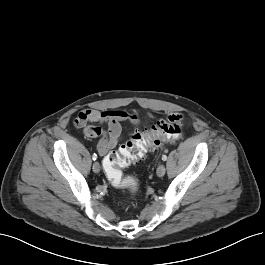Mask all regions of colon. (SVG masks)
<instances>
[{
	"mask_svg": "<svg viewBox=\"0 0 265 265\" xmlns=\"http://www.w3.org/2000/svg\"><path fill=\"white\" fill-rule=\"evenodd\" d=\"M180 119L161 120L147 133L136 132L118 151L111 152L103 161L106 177L117 189H127L133 194L140 190L139 181L133 176H124L122 170L141 158L146 151L155 149L164 141L177 139L182 135Z\"/></svg>",
	"mask_w": 265,
	"mask_h": 265,
	"instance_id": "1",
	"label": "colon"
}]
</instances>
